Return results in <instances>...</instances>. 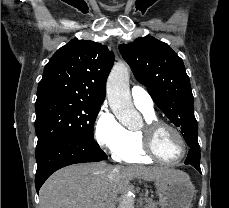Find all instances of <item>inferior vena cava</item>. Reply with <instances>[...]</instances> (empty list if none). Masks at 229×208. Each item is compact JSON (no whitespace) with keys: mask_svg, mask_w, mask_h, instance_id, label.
Masks as SVG:
<instances>
[{"mask_svg":"<svg viewBox=\"0 0 229 208\" xmlns=\"http://www.w3.org/2000/svg\"><path fill=\"white\" fill-rule=\"evenodd\" d=\"M121 208H124V206H123V202H122V206H121Z\"/></svg>","mask_w":229,"mask_h":208,"instance_id":"obj_1","label":"inferior vena cava"}]
</instances>
